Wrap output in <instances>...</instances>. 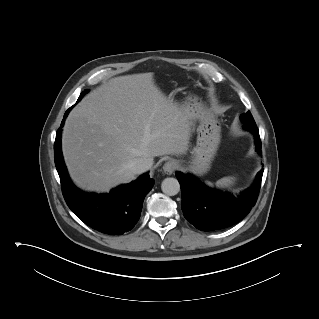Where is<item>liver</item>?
I'll return each mask as SVG.
<instances>
[{
	"instance_id": "obj_1",
	"label": "liver",
	"mask_w": 319,
	"mask_h": 319,
	"mask_svg": "<svg viewBox=\"0 0 319 319\" xmlns=\"http://www.w3.org/2000/svg\"><path fill=\"white\" fill-rule=\"evenodd\" d=\"M153 76L112 78L70 112L62 151L78 187L108 192L135 179L130 169L135 159L186 153L191 115L162 93Z\"/></svg>"
}]
</instances>
